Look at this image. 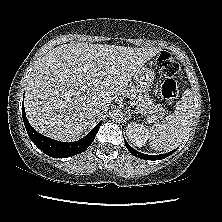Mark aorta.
Returning <instances> with one entry per match:
<instances>
[{
    "label": "aorta",
    "mask_w": 222,
    "mask_h": 222,
    "mask_svg": "<svg viewBox=\"0 0 222 222\" xmlns=\"http://www.w3.org/2000/svg\"><path fill=\"white\" fill-rule=\"evenodd\" d=\"M110 117L113 120L120 121L123 118V113L120 109L115 108L114 110L111 111Z\"/></svg>",
    "instance_id": "1"
}]
</instances>
